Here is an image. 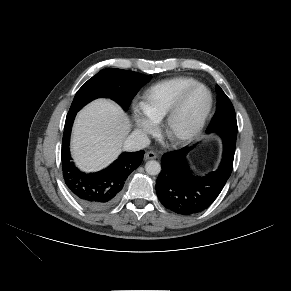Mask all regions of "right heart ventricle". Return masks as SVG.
I'll list each match as a JSON object with an SVG mask.
<instances>
[{
    "label": "right heart ventricle",
    "mask_w": 291,
    "mask_h": 291,
    "mask_svg": "<svg viewBox=\"0 0 291 291\" xmlns=\"http://www.w3.org/2000/svg\"><path fill=\"white\" fill-rule=\"evenodd\" d=\"M199 83L195 78L178 76L150 86L142 96L141 109L155 123L162 121L178 97L190 86Z\"/></svg>",
    "instance_id": "right-heart-ventricle-1"
}]
</instances>
